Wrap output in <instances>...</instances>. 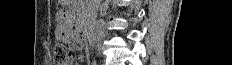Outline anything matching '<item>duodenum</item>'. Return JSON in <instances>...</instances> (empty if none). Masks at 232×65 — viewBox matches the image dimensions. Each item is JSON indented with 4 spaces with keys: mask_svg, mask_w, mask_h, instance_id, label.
Returning <instances> with one entry per match:
<instances>
[{
    "mask_svg": "<svg viewBox=\"0 0 232 65\" xmlns=\"http://www.w3.org/2000/svg\"><path fill=\"white\" fill-rule=\"evenodd\" d=\"M85 31H86L85 22H84V20H80L78 22V26H77V35H78L79 41L83 40V38L85 36Z\"/></svg>",
    "mask_w": 232,
    "mask_h": 65,
    "instance_id": "duodenum-1",
    "label": "duodenum"
}]
</instances>
